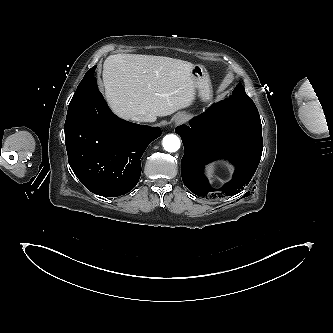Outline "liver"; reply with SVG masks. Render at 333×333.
I'll return each instance as SVG.
<instances>
[{
	"instance_id": "obj_1",
	"label": "liver",
	"mask_w": 333,
	"mask_h": 333,
	"mask_svg": "<svg viewBox=\"0 0 333 333\" xmlns=\"http://www.w3.org/2000/svg\"><path fill=\"white\" fill-rule=\"evenodd\" d=\"M193 67L164 56L110 55L103 65L105 98L121 118L145 115L154 122L192 105L197 88Z\"/></svg>"
}]
</instances>
